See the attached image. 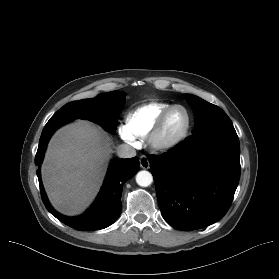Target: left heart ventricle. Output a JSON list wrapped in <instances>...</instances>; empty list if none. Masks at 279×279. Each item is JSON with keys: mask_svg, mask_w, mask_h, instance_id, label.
<instances>
[{"mask_svg": "<svg viewBox=\"0 0 279 279\" xmlns=\"http://www.w3.org/2000/svg\"><path fill=\"white\" fill-rule=\"evenodd\" d=\"M186 124V115L182 109L173 110L167 117L162 129L161 137L170 140L180 134Z\"/></svg>", "mask_w": 279, "mask_h": 279, "instance_id": "b2bd125f", "label": "left heart ventricle"}]
</instances>
